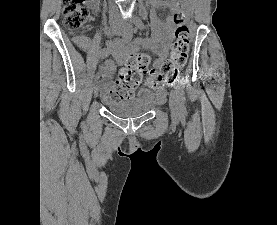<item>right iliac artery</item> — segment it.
<instances>
[{"label":"right iliac artery","mask_w":277,"mask_h":225,"mask_svg":"<svg viewBox=\"0 0 277 225\" xmlns=\"http://www.w3.org/2000/svg\"><path fill=\"white\" fill-rule=\"evenodd\" d=\"M132 37H133V29L131 28L128 32H126L123 35L122 39L117 38V40H121L122 42L127 43L132 39ZM97 85H98V81H97V79H95L92 83V87L95 88V87H97Z\"/></svg>","instance_id":"1"}]
</instances>
